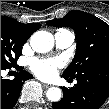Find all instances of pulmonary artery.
<instances>
[{
  "label": "pulmonary artery",
  "instance_id": "obj_1",
  "mask_svg": "<svg viewBox=\"0 0 109 109\" xmlns=\"http://www.w3.org/2000/svg\"><path fill=\"white\" fill-rule=\"evenodd\" d=\"M74 33L67 29H59L55 35V45L58 49H66L70 47L74 42Z\"/></svg>",
  "mask_w": 109,
  "mask_h": 109
}]
</instances>
